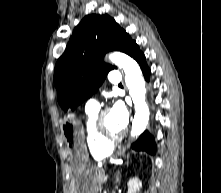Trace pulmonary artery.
<instances>
[{
    "label": "pulmonary artery",
    "instance_id": "obj_1",
    "mask_svg": "<svg viewBox=\"0 0 221 193\" xmlns=\"http://www.w3.org/2000/svg\"><path fill=\"white\" fill-rule=\"evenodd\" d=\"M121 74L118 70H112L109 74V81L112 85L117 86L121 83ZM86 111L93 112L99 110V103L96 98H91L86 102Z\"/></svg>",
    "mask_w": 221,
    "mask_h": 193
}]
</instances>
